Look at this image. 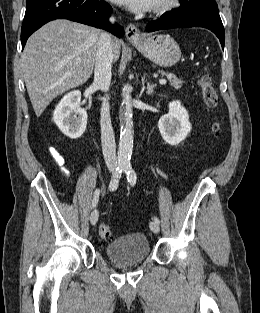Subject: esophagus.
<instances>
[{"label":"esophagus","instance_id":"1","mask_svg":"<svg viewBox=\"0 0 260 313\" xmlns=\"http://www.w3.org/2000/svg\"><path fill=\"white\" fill-rule=\"evenodd\" d=\"M126 37L131 42H136L141 39L140 30L133 24H129L126 28Z\"/></svg>","mask_w":260,"mask_h":313}]
</instances>
